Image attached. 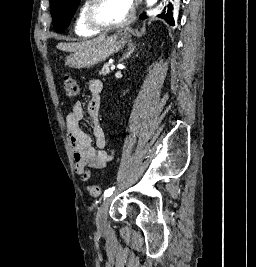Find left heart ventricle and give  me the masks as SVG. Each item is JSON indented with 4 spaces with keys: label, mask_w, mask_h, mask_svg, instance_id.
Returning <instances> with one entry per match:
<instances>
[{
    "label": "left heart ventricle",
    "mask_w": 256,
    "mask_h": 267,
    "mask_svg": "<svg viewBox=\"0 0 256 267\" xmlns=\"http://www.w3.org/2000/svg\"><path fill=\"white\" fill-rule=\"evenodd\" d=\"M96 17L103 24L117 25L130 21L132 11L117 0H107L99 4L96 10Z\"/></svg>",
    "instance_id": "left-heart-ventricle-1"
}]
</instances>
